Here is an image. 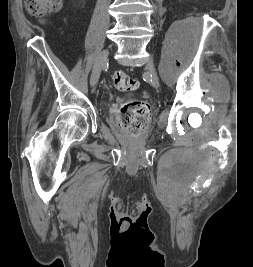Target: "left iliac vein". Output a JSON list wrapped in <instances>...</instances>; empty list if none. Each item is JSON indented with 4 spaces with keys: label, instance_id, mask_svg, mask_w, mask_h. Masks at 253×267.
Wrapping results in <instances>:
<instances>
[{
    "label": "left iliac vein",
    "instance_id": "left-iliac-vein-1",
    "mask_svg": "<svg viewBox=\"0 0 253 267\" xmlns=\"http://www.w3.org/2000/svg\"><path fill=\"white\" fill-rule=\"evenodd\" d=\"M147 69H148V74L151 75L150 81L152 85H158L159 80L156 77L155 71H154V64L151 61L147 62Z\"/></svg>",
    "mask_w": 253,
    "mask_h": 267
}]
</instances>
